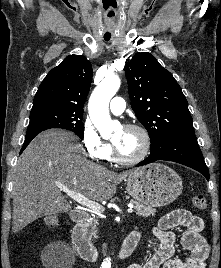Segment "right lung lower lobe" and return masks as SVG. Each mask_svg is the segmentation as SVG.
<instances>
[{
	"mask_svg": "<svg viewBox=\"0 0 221 268\" xmlns=\"http://www.w3.org/2000/svg\"><path fill=\"white\" fill-rule=\"evenodd\" d=\"M39 133H33V134H26L25 136V141H24V144H23V147L20 151V153L27 147V145L30 143V141Z\"/></svg>",
	"mask_w": 221,
	"mask_h": 268,
	"instance_id": "obj_1",
	"label": "right lung lower lobe"
}]
</instances>
